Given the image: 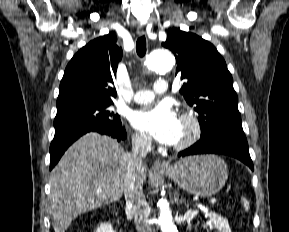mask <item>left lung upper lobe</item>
<instances>
[{"label":"left lung upper lobe","instance_id":"5c2ea615","mask_svg":"<svg viewBox=\"0 0 289 232\" xmlns=\"http://www.w3.org/2000/svg\"><path fill=\"white\" fill-rule=\"evenodd\" d=\"M162 45L176 57V75L185 80L180 93L198 114L200 140L222 132H243L233 79L217 49L180 29L169 32Z\"/></svg>","mask_w":289,"mask_h":232}]
</instances>
